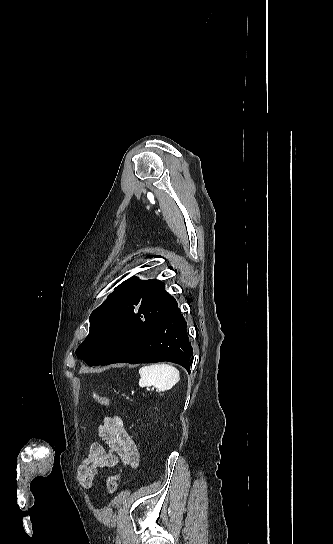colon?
<instances>
[{
	"instance_id": "colon-1",
	"label": "colon",
	"mask_w": 333,
	"mask_h": 544,
	"mask_svg": "<svg viewBox=\"0 0 333 544\" xmlns=\"http://www.w3.org/2000/svg\"><path fill=\"white\" fill-rule=\"evenodd\" d=\"M92 397L98 403H100L101 405H104V406H107V407L111 406V402H110L109 398L106 397L105 395H102V394H100L98 392L93 391L92 392ZM119 480H120V475L119 474H112V475L108 476V478L106 480V486H107V491L110 494H114L118 490Z\"/></svg>"
}]
</instances>
